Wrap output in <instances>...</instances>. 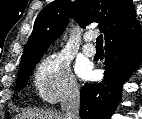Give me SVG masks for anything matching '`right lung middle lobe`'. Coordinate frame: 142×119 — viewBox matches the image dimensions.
Listing matches in <instances>:
<instances>
[{"label":"right lung middle lobe","mask_w":142,"mask_h":119,"mask_svg":"<svg viewBox=\"0 0 142 119\" xmlns=\"http://www.w3.org/2000/svg\"><path fill=\"white\" fill-rule=\"evenodd\" d=\"M40 58H41V56L29 61L28 63H26L25 65H23L19 68V75H18V80L16 83V88L18 90L24 88L35 65L39 62Z\"/></svg>","instance_id":"obj_1"}]
</instances>
